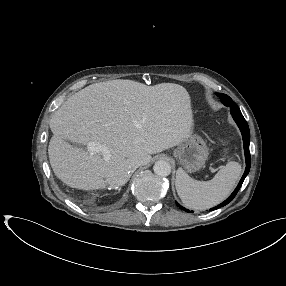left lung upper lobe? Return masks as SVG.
<instances>
[{
  "label": "left lung upper lobe",
  "mask_w": 286,
  "mask_h": 286,
  "mask_svg": "<svg viewBox=\"0 0 286 286\" xmlns=\"http://www.w3.org/2000/svg\"><path fill=\"white\" fill-rule=\"evenodd\" d=\"M216 95L219 96L222 103L225 106L230 107L231 110H240L236 103L228 95H225L223 93H216Z\"/></svg>",
  "instance_id": "1"
}]
</instances>
